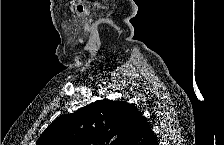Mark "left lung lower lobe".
<instances>
[{
    "mask_svg": "<svg viewBox=\"0 0 224 145\" xmlns=\"http://www.w3.org/2000/svg\"><path fill=\"white\" fill-rule=\"evenodd\" d=\"M129 145H158L151 127L143 117L139 118L135 134Z\"/></svg>",
    "mask_w": 224,
    "mask_h": 145,
    "instance_id": "1",
    "label": "left lung lower lobe"
}]
</instances>
